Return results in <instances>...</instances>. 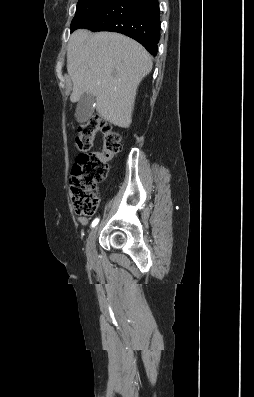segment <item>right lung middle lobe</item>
<instances>
[{
    "mask_svg": "<svg viewBox=\"0 0 254 397\" xmlns=\"http://www.w3.org/2000/svg\"><path fill=\"white\" fill-rule=\"evenodd\" d=\"M108 0H79L75 17L71 22V32L94 16Z\"/></svg>",
    "mask_w": 254,
    "mask_h": 397,
    "instance_id": "right-lung-middle-lobe-1",
    "label": "right lung middle lobe"
}]
</instances>
